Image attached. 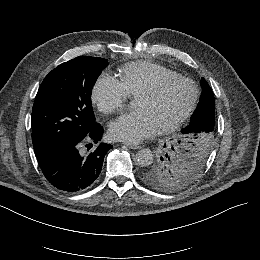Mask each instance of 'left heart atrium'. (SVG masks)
<instances>
[{
	"mask_svg": "<svg viewBox=\"0 0 260 260\" xmlns=\"http://www.w3.org/2000/svg\"><path fill=\"white\" fill-rule=\"evenodd\" d=\"M155 130L156 125L143 108L122 114L109 128L113 138L127 143H138L151 136Z\"/></svg>",
	"mask_w": 260,
	"mask_h": 260,
	"instance_id": "39dd6f15",
	"label": "left heart atrium"
}]
</instances>
